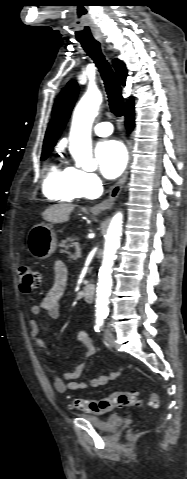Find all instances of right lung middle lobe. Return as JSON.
<instances>
[{"instance_id":"dd1d6c3e","label":"right lung middle lobe","mask_w":187,"mask_h":479,"mask_svg":"<svg viewBox=\"0 0 187 479\" xmlns=\"http://www.w3.org/2000/svg\"><path fill=\"white\" fill-rule=\"evenodd\" d=\"M50 152H51V150L42 152L41 160H45L47 158V156L50 154Z\"/></svg>"}]
</instances>
